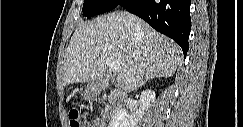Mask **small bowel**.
I'll return each mask as SVG.
<instances>
[{"label":"small bowel","instance_id":"small-bowel-1","mask_svg":"<svg viewBox=\"0 0 243 127\" xmlns=\"http://www.w3.org/2000/svg\"><path fill=\"white\" fill-rule=\"evenodd\" d=\"M105 127V125L103 124V122H101L100 120H95L92 122L91 125H89L87 122H84V127Z\"/></svg>","mask_w":243,"mask_h":127}]
</instances>
